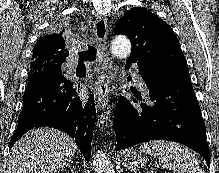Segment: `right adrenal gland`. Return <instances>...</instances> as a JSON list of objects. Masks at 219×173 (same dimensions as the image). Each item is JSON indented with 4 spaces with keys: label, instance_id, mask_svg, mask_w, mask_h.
I'll return each mask as SVG.
<instances>
[{
    "label": "right adrenal gland",
    "instance_id": "right-adrenal-gland-1",
    "mask_svg": "<svg viewBox=\"0 0 219 173\" xmlns=\"http://www.w3.org/2000/svg\"><path fill=\"white\" fill-rule=\"evenodd\" d=\"M70 163H71V162H70ZM66 166H67L72 172L74 171V167H72L71 164L68 163Z\"/></svg>",
    "mask_w": 219,
    "mask_h": 173
}]
</instances>
